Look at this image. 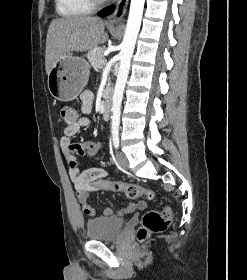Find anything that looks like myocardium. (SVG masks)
Returning a JSON list of instances; mask_svg holds the SVG:
<instances>
[{"label": "myocardium", "instance_id": "obj_1", "mask_svg": "<svg viewBox=\"0 0 247 280\" xmlns=\"http://www.w3.org/2000/svg\"><path fill=\"white\" fill-rule=\"evenodd\" d=\"M93 5H99L103 3L105 0H89Z\"/></svg>", "mask_w": 247, "mask_h": 280}]
</instances>
